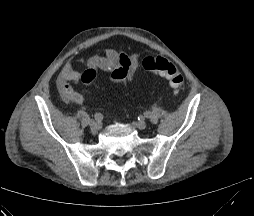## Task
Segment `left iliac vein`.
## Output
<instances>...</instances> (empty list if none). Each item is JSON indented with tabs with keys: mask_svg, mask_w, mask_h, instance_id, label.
Segmentation results:
<instances>
[{
	"mask_svg": "<svg viewBox=\"0 0 254 216\" xmlns=\"http://www.w3.org/2000/svg\"><path fill=\"white\" fill-rule=\"evenodd\" d=\"M135 127H137L138 129H145L146 128V122L145 121H139L134 123Z\"/></svg>",
	"mask_w": 254,
	"mask_h": 216,
	"instance_id": "obj_1",
	"label": "left iliac vein"
}]
</instances>
